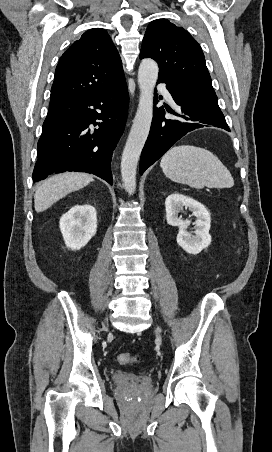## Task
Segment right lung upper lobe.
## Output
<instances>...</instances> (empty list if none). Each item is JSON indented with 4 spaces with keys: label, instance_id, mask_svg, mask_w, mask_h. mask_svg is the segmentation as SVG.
Here are the masks:
<instances>
[{
    "label": "right lung upper lobe",
    "instance_id": "obj_1",
    "mask_svg": "<svg viewBox=\"0 0 272 452\" xmlns=\"http://www.w3.org/2000/svg\"><path fill=\"white\" fill-rule=\"evenodd\" d=\"M123 80L121 58L110 36L104 29H90L70 46L56 67L49 112L71 108Z\"/></svg>",
    "mask_w": 272,
    "mask_h": 452
}]
</instances>
